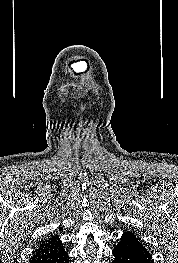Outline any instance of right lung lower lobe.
<instances>
[{
  "mask_svg": "<svg viewBox=\"0 0 178 263\" xmlns=\"http://www.w3.org/2000/svg\"><path fill=\"white\" fill-rule=\"evenodd\" d=\"M44 263H69V256L65 252V250H63L51 259L45 261Z\"/></svg>",
  "mask_w": 178,
  "mask_h": 263,
  "instance_id": "98d812e1",
  "label": "right lung lower lobe"
}]
</instances>
